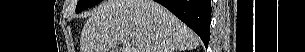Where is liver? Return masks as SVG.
Returning <instances> with one entry per match:
<instances>
[{"label": "liver", "instance_id": "1", "mask_svg": "<svg viewBox=\"0 0 305 52\" xmlns=\"http://www.w3.org/2000/svg\"><path fill=\"white\" fill-rule=\"evenodd\" d=\"M183 52L199 45L197 35L153 0H106L81 32V52Z\"/></svg>", "mask_w": 305, "mask_h": 52}]
</instances>
